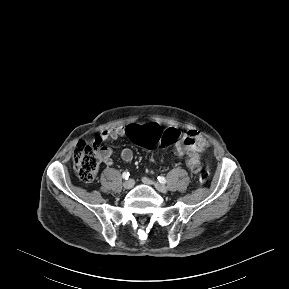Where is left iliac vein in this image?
I'll return each mask as SVG.
<instances>
[{"instance_id":"obj_1","label":"left iliac vein","mask_w":289,"mask_h":289,"mask_svg":"<svg viewBox=\"0 0 289 289\" xmlns=\"http://www.w3.org/2000/svg\"><path fill=\"white\" fill-rule=\"evenodd\" d=\"M142 181L147 185L154 186L161 193L167 192V187L157 181H153L147 177H143Z\"/></svg>"}]
</instances>
